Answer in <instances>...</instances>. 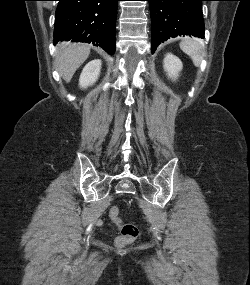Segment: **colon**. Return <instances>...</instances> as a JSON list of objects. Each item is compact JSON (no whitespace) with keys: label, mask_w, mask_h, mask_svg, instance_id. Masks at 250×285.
<instances>
[{"label":"colon","mask_w":250,"mask_h":285,"mask_svg":"<svg viewBox=\"0 0 250 285\" xmlns=\"http://www.w3.org/2000/svg\"><path fill=\"white\" fill-rule=\"evenodd\" d=\"M109 216L112 222L115 223L119 228L120 235L116 239V244L118 247H124L132 243L138 237V227L132 223H122L119 216V208L117 206L111 207Z\"/></svg>","instance_id":"5ec220e1"}]
</instances>
